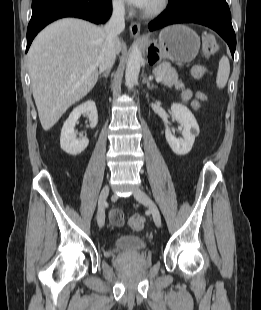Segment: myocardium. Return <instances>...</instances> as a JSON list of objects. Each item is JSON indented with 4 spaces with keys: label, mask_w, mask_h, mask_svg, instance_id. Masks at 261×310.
<instances>
[{
    "label": "myocardium",
    "mask_w": 261,
    "mask_h": 310,
    "mask_svg": "<svg viewBox=\"0 0 261 310\" xmlns=\"http://www.w3.org/2000/svg\"><path fill=\"white\" fill-rule=\"evenodd\" d=\"M169 3L170 0H156L151 7L143 11V16L147 18L156 17L167 9Z\"/></svg>",
    "instance_id": "obj_1"
}]
</instances>
